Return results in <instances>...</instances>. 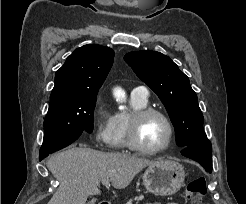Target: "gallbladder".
<instances>
[{"mask_svg":"<svg viewBox=\"0 0 246 204\" xmlns=\"http://www.w3.org/2000/svg\"><path fill=\"white\" fill-rule=\"evenodd\" d=\"M87 204H94V202L93 201H89Z\"/></svg>","mask_w":246,"mask_h":204,"instance_id":"bac80fb5","label":"gallbladder"}]
</instances>
